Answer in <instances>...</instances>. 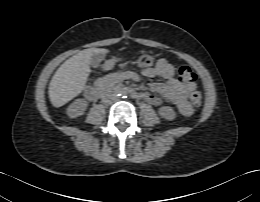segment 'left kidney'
Instances as JSON below:
<instances>
[{"label": "left kidney", "mask_w": 260, "mask_h": 202, "mask_svg": "<svg viewBox=\"0 0 260 202\" xmlns=\"http://www.w3.org/2000/svg\"><path fill=\"white\" fill-rule=\"evenodd\" d=\"M159 115L167 120H174L177 116L176 112L169 106H163L158 110Z\"/></svg>", "instance_id": "left-kidney-1"}]
</instances>
